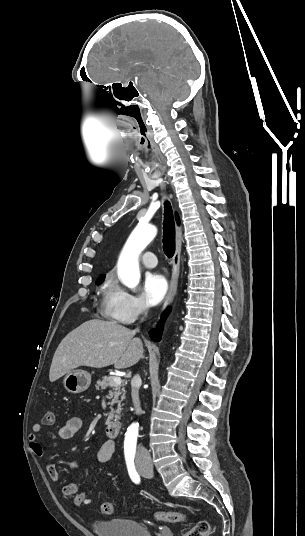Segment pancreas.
I'll use <instances>...</instances> for the list:
<instances>
[{"label": "pancreas", "mask_w": 305, "mask_h": 536, "mask_svg": "<svg viewBox=\"0 0 305 536\" xmlns=\"http://www.w3.org/2000/svg\"><path fill=\"white\" fill-rule=\"evenodd\" d=\"M112 378H115V376H104L103 380H98L96 390H106L108 386H112V390H110L108 396L109 400H112V402H110V412L109 414H104V416H108L109 420H116V424H118V420H121V402L126 398L125 388H123L125 384H123V386L111 384ZM113 406H117V410H114Z\"/></svg>", "instance_id": "1"}]
</instances>
